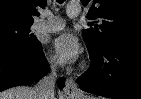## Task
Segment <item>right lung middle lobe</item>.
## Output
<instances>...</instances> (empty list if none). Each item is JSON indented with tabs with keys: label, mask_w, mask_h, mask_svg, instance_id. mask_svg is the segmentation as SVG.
Returning <instances> with one entry per match:
<instances>
[{
	"label": "right lung middle lobe",
	"mask_w": 141,
	"mask_h": 99,
	"mask_svg": "<svg viewBox=\"0 0 141 99\" xmlns=\"http://www.w3.org/2000/svg\"><path fill=\"white\" fill-rule=\"evenodd\" d=\"M32 23L23 21L0 22V46L31 47L40 44L30 31Z\"/></svg>",
	"instance_id": "dd1d6c3e"
}]
</instances>
